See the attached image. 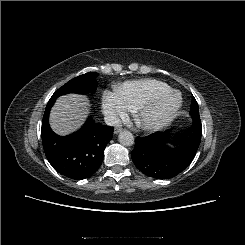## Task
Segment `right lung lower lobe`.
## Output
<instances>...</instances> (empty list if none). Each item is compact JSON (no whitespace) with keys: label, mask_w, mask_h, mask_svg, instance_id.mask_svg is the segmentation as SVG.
<instances>
[{"label":"right lung lower lobe","mask_w":245,"mask_h":245,"mask_svg":"<svg viewBox=\"0 0 245 245\" xmlns=\"http://www.w3.org/2000/svg\"><path fill=\"white\" fill-rule=\"evenodd\" d=\"M55 100H49L42 120V143L49 163L60 174L82 180L100 167L104 149L113 136V127L96 124L89 118L77 132L68 136L56 135L48 117Z\"/></svg>","instance_id":"1"}]
</instances>
